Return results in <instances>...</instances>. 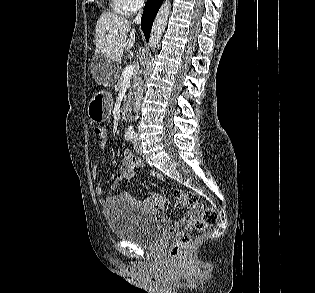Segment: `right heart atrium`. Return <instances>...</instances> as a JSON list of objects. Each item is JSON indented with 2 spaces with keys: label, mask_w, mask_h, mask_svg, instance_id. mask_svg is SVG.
Segmentation results:
<instances>
[{
  "label": "right heart atrium",
  "mask_w": 315,
  "mask_h": 293,
  "mask_svg": "<svg viewBox=\"0 0 315 293\" xmlns=\"http://www.w3.org/2000/svg\"><path fill=\"white\" fill-rule=\"evenodd\" d=\"M122 2L129 12H134L144 5L145 0H122Z\"/></svg>",
  "instance_id": "right-heart-atrium-1"
}]
</instances>
